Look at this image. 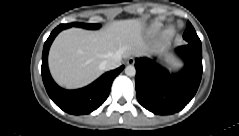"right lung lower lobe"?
<instances>
[{
	"label": "right lung lower lobe",
	"instance_id": "right-lung-lower-lobe-1",
	"mask_svg": "<svg viewBox=\"0 0 239 136\" xmlns=\"http://www.w3.org/2000/svg\"><path fill=\"white\" fill-rule=\"evenodd\" d=\"M63 29L65 28L62 24L55 28L44 44L41 67L43 83L49 97L63 111L74 115L89 114L107 99L114 78L124 66L103 74L95 82L82 89L65 90L59 87L49 73L47 58L51 43Z\"/></svg>",
	"mask_w": 239,
	"mask_h": 136
}]
</instances>
